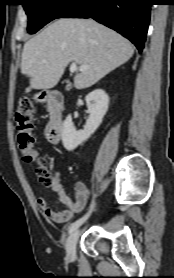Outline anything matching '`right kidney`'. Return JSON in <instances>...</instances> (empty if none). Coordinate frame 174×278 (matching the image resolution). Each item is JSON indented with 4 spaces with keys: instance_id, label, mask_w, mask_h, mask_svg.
Returning <instances> with one entry per match:
<instances>
[{
    "instance_id": "ca27d5eb",
    "label": "right kidney",
    "mask_w": 174,
    "mask_h": 278,
    "mask_svg": "<svg viewBox=\"0 0 174 278\" xmlns=\"http://www.w3.org/2000/svg\"><path fill=\"white\" fill-rule=\"evenodd\" d=\"M85 100L89 118L84 129L76 131L71 115H68L63 123L62 142L68 151L77 148L97 130L108 110L109 97L103 89H95L86 96Z\"/></svg>"
}]
</instances>
